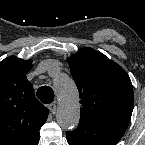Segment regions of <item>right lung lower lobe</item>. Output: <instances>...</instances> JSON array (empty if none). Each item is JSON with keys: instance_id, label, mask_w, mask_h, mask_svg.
I'll return each mask as SVG.
<instances>
[{"instance_id": "1", "label": "right lung lower lobe", "mask_w": 145, "mask_h": 145, "mask_svg": "<svg viewBox=\"0 0 145 145\" xmlns=\"http://www.w3.org/2000/svg\"><path fill=\"white\" fill-rule=\"evenodd\" d=\"M39 141V138L37 140H35L34 142H32L30 145H36Z\"/></svg>"}]
</instances>
